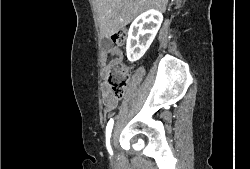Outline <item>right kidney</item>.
<instances>
[{
	"label": "right kidney",
	"mask_w": 250,
	"mask_h": 169,
	"mask_svg": "<svg viewBox=\"0 0 250 169\" xmlns=\"http://www.w3.org/2000/svg\"><path fill=\"white\" fill-rule=\"evenodd\" d=\"M163 20V14L160 10L150 8L146 12L139 14L133 20L129 30L126 42V54L128 60L134 62L139 60L153 42Z\"/></svg>",
	"instance_id": "1"
}]
</instances>
